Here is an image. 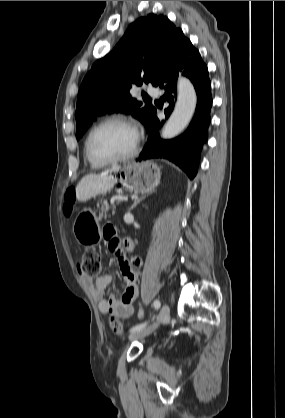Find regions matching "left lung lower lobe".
<instances>
[{
    "mask_svg": "<svg viewBox=\"0 0 285 418\" xmlns=\"http://www.w3.org/2000/svg\"><path fill=\"white\" fill-rule=\"evenodd\" d=\"M188 77L194 85L197 94L195 115L188 129L179 137L163 141L158 137L160 127L164 124L156 117V111L149 124L148 142L137 161L151 158H164L177 164L189 178L193 179L197 173L202 144L207 140V129L210 123V109L212 106L211 82L208 69L200 53L189 39L182 38L169 62L164 69L159 86L165 90L161 100L168 101L165 109L166 118L171 114L176 98V81L178 72Z\"/></svg>",
    "mask_w": 285,
    "mask_h": 418,
    "instance_id": "left-lung-lower-lobe-1",
    "label": "left lung lower lobe"
}]
</instances>
